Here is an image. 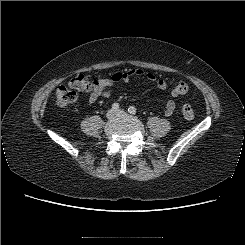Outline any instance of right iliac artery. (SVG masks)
I'll use <instances>...</instances> for the list:
<instances>
[{
  "label": "right iliac artery",
  "instance_id": "right-iliac-artery-1",
  "mask_svg": "<svg viewBox=\"0 0 245 245\" xmlns=\"http://www.w3.org/2000/svg\"><path fill=\"white\" fill-rule=\"evenodd\" d=\"M112 108L115 109V110L119 109V104L118 103H114L112 105Z\"/></svg>",
  "mask_w": 245,
  "mask_h": 245
}]
</instances>
